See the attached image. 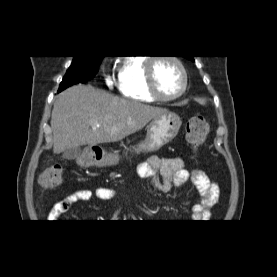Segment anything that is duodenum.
<instances>
[{
	"label": "duodenum",
	"mask_w": 277,
	"mask_h": 277,
	"mask_svg": "<svg viewBox=\"0 0 277 277\" xmlns=\"http://www.w3.org/2000/svg\"><path fill=\"white\" fill-rule=\"evenodd\" d=\"M93 158L96 160H100L102 158V154L99 152H94Z\"/></svg>",
	"instance_id": "1"
}]
</instances>
